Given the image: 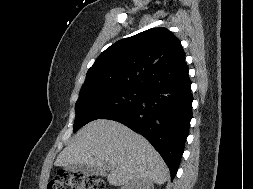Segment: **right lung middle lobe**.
<instances>
[{"label":"right lung middle lobe","mask_w":253,"mask_h":189,"mask_svg":"<svg viewBox=\"0 0 253 189\" xmlns=\"http://www.w3.org/2000/svg\"><path fill=\"white\" fill-rule=\"evenodd\" d=\"M144 94L143 90L125 86L102 87L80 93L75 105L74 132L93 120L108 118L136 105Z\"/></svg>","instance_id":"1"}]
</instances>
